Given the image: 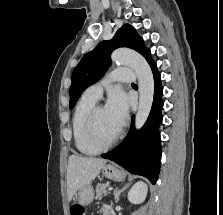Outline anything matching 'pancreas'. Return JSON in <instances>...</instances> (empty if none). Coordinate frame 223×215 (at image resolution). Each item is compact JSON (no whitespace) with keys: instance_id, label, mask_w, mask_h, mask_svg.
Listing matches in <instances>:
<instances>
[{"instance_id":"1","label":"pancreas","mask_w":223,"mask_h":215,"mask_svg":"<svg viewBox=\"0 0 223 215\" xmlns=\"http://www.w3.org/2000/svg\"><path fill=\"white\" fill-rule=\"evenodd\" d=\"M106 187H108L107 183H98L95 189L96 191L95 199H101L102 195H107Z\"/></svg>"}]
</instances>
